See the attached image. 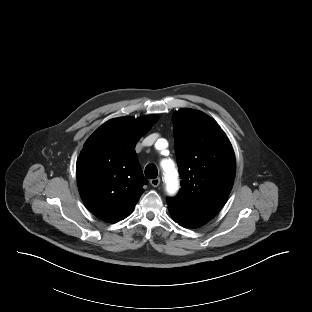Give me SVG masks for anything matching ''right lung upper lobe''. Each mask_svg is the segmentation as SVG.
Instances as JSON below:
<instances>
[{"instance_id":"right-lung-upper-lobe-1","label":"right lung upper lobe","mask_w":312,"mask_h":312,"mask_svg":"<svg viewBox=\"0 0 312 312\" xmlns=\"http://www.w3.org/2000/svg\"><path fill=\"white\" fill-rule=\"evenodd\" d=\"M157 120L155 115L112 119L84 144L77 159V183L86 207L99 219L115 223L135 207L147 180L134 148Z\"/></svg>"}]
</instances>
